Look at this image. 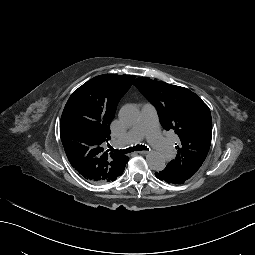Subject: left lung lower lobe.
I'll return each instance as SVG.
<instances>
[{
  "mask_svg": "<svg viewBox=\"0 0 255 255\" xmlns=\"http://www.w3.org/2000/svg\"><path fill=\"white\" fill-rule=\"evenodd\" d=\"M155 177L160 181L164 182L167 186H170L171 184L179 186L181 184V181L179 179L173 177L169 173V169L167 167H164L162 169V172H157L155 174Z\"/></svg>",
  "mask_w": 255,
  "mask_h": 255,
  "instance_id": "obj_1",
  "label": "left lung lower lobe"
}]
</instances>
